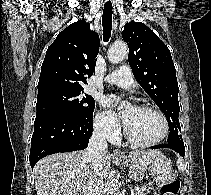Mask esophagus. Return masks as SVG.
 <instances>
[{
  "label": "esophagus",
  "instance_id": "esophagus-1",
  "mask_svg": "<svg viewBox=\"0 0 211 195\" xmlns=\"http://www.w3.org/2000/svg\"><path fill=\"white\" fill-rule=\"evenodd\" d=\"M113 155H114V157H124V154L118 148L114 150Z\"/></svg>",
  "mask_w": 211,
  "mask_h": 195
}]
</instances>
